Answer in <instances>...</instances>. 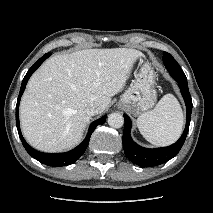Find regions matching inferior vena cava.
I'll use <instances>...</instances> for the list:
<instances>
[{
	"instance_id": "602c4592",
	"label": "inferior vena cava",
	"mask_w": 213,
	"mask_h": 213,
	"mask_svg": "<svg viewBox=\"0 0 213 213\" xmlns=\"http://www.w3.org/2000/svg\"><path fill=\"white\" fill-rule=\"evenodd\" d=\"M100 107L97 104L91 103L90 105L87 106L86 108V112L88 115H96L98 113H100Z\"/></svg>"
}]
</instances>
